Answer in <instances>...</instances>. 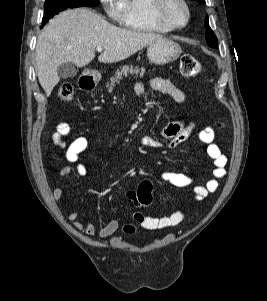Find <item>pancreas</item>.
Masks as SVG:
<instances>
[{
	"instance_id": "obj_1",
	"label": "pancreas",
	"mask_w": 267,
	"mask_h": 301,
	"mask_svg": "<svg viewBox=\"0 0 267 301\" xmlns=\"http://www.w3.org/2000/svg\"><path fill=\"white\" fill-rule=\"evenodd\" d=\"M144 73H145V69L143 67L139 68L137 66L134 67L132 65L130 66L126 65L121 67L120 70H117L115 76L110 79L111 83L107 84L109 92L113 90V88L116 86V83H119L124 76H127L128 74L131 75L135 74L136 76L140 75L142 77Z\"/></svg>"
}]
</instances>
